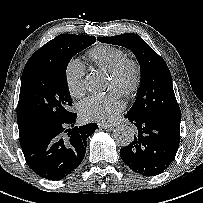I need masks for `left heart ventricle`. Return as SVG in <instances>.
Masks as SVG:
<instances>
[{
	"mask_svg": "<svg viewBox=\"0 0 203 203\" xmlns=\"http://www.w3.org/2000/svg\"><path fill=\"white\" fill-rule=\"evenodd\" d=\"M112 82L117 90L124 92L130 82V71L124 70L119 75L112 77Z\"/></svg>",
	"mask_w": 203,
	"mask_h": 203,
	"instance_id": "obj_1",
	"label": "left heart ventricle"
}]
</instances>
